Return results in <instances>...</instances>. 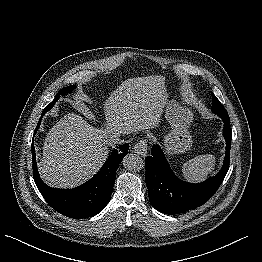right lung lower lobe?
Here are the masks:
<instances>
[{"instance_id":"1","label":"right lung lower lobe","mask_w":262,"mask_h":262,"mask_svg":"<svg viewBox=\"0 0 262 262\" xmlns=\"http://www.w3.org/2000/svg\"><path fill=\"white\" fill-rule=\"evenodd\" d=\"M42 112L34 135L40 126ZM129 144L115 149L103 167L89 181L73 189H55L47 186L40 178L32 142L33 178L47 203L58 213L73 219H82L97 215L109 203L114 187L116 171L122 159L127 155Z\"/></svg>"}]
</instances>
